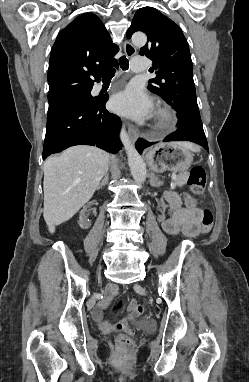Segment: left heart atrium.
<instances>
[{"label":"left heart atrium","instance_id":"obj_1","mask_svg":"<svg viewBox=\"0 0 249 382\" xmlns=\"http://www.w3.org/2000/svg\"><path fill=\"white\" fill-rule=\"evenodd\" d=\"M111 108L120 114L142 120L152 112V102L143 90L136 86H129L116 94L110 102Z\"/></svg>","mask_w":249,"mask_h":382}]
</instances>
